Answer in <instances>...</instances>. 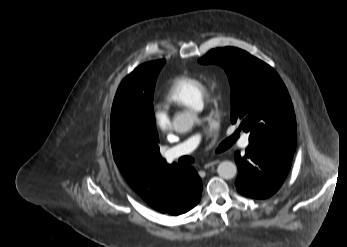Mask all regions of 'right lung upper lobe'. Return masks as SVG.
<instances>
[{
  "instance_id": "obj_1",
  "label": "right lung upper lobe",
  "mask_w": 347,
  "mask_h": 247,
  "mask_svg": "<svg viewBox=\"0 0 347 247\" xmlns=\"http://www.w3.org/2000/svg\"><path fill=\"white\" fill-rule=\"evenodd\" d=\"M159 139H128L111 130L113 156L129 185L154 209L165 213L178 197L182 165L162 158Z\"/></svg>"
}]
</instances>
